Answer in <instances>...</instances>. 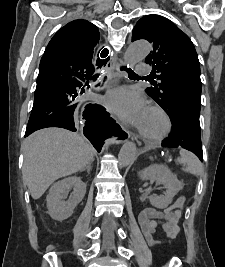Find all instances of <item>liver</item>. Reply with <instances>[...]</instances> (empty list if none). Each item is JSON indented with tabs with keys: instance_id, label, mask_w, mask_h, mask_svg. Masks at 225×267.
Masks as SVG:
<instances>
[{
	"instance_id": "6515ba94",
	"label": "liver",
	"mask_w": 225,
	"mask_h": 267,
	"mask_svg": "<svg viewBox=\"0 0 225 267\" xmlns=\"http://www.w3.org/2000/svg\"><path fill=\"white\" fill-rule=\"evenodd\" d=\"M23 180L34 200L59 178L84 170L93 161L94 150L77 133L46 128L23 143Z\"/></svg>"
}]
</instances>
